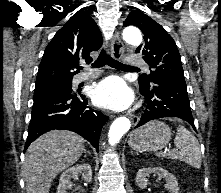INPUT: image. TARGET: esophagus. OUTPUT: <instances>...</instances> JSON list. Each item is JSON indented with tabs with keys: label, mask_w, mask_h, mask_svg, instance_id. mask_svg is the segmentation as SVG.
Wrapping results in <instances>:
<instances>
[{
	"label": "esophagus",
	"mask_w": 221,
	"mask_h": 193,
	"mask_svg": "<svg viewBox=\"0 0 221 193\" xmlns=\"http://www.w3.org/2000/svg\"><path fill=\"white\" fill-rule=\"evenodd\" d=\"M123 43L121 41L119 33L116 31L111 41V55L114 59L120 60L123 56ZM130 119L133 125L139 122V117L134 114H130Z\"/></svg>",
	"instance_id": "esophagus-1"
}]
</instances>
